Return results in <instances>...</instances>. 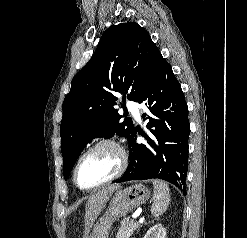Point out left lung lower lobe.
<instances>
[{"instance_id":"left-lung-lower-lobe-1","label":"left lung lower lobe","mask_w":247,"mask_h":238,"mask_svg":"<svg viewBox=\"0 0 247 238\" xmlns=\"http://www.w3.org/2000/svg\"><path fill=\"white\" fill-rule=\"evenodd\" d=\"M144 103L149 115L143 136L147 144L136 143L137 129L129 139L130 163L116 183L158 178L168 181L185 192L188 170V137L190 124L188 106L171 66L160 63L145 92L137 101Z\"/></svg>"}]
</instances>
